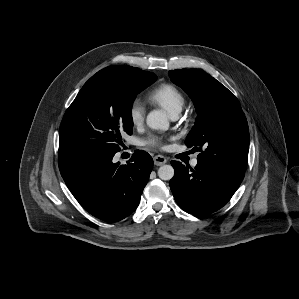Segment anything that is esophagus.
<instances>
[{"label": "esophagus", "mask_w": 299, "mask_h": 299, "mask_svg": "<svg viewBox=\"0 0 299 299\" xmlns=\"http://www.w3.org/2000/svg\"><path fill=\"white\" fill-rule=\"evenodd\" d=\"M153 159H154V164L157 166H161L167 162V159L162 155H156Z\"/></svg>", "instance_id": "obj_1"}]
</instances>
